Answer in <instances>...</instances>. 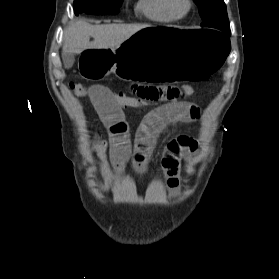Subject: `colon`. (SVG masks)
Instances as JSON below:
<instances>
[{"instance_id":"obj_1","label":"colon","mask_w":279,"mask_h":279,"mask_svg":"<svg viewBox=\"0 0 279 279\" xmlns=\"http://www.w3.org/2000/svg\"><path fill=\"white\" fill-rule=\"evenodd\" d=\"M70 90L78 96L87 97L89 92V87L84 86L80 83H70ZM194 93V89L191 85H183L180 87H175L170 94L172 100H181L185 99L188 96ZM113 100L124 108L131 109H143L154 103H157V100L148 96H129L122 92L112 93Z\"/></svg>"}]
</instances>
